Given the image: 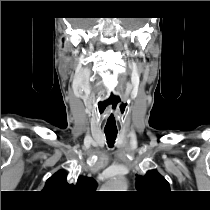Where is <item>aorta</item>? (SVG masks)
Returning a JSON list of instances; mask_svg holds the SVG:
<instances>
[{
  "mask_svg": "<svg viewBox=\"0 0 210 210\" xmlns=\"http://www.w3.org/2000/svg\"><path fill=\"white\" fill-rule=\"evenodd\" d=\"M106 188L112 189L109 191H124L123 189H126V180L123 176H117L106 185Z\"/></svg>",
  "mask_w": 210,
  "mask_h": 210,
  "instance_id": "762f6f07",
  "label": "aorta"
}]
</instances>
